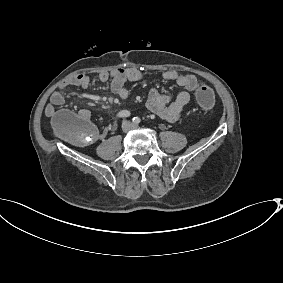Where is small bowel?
Listing matches in <instances>:
<instances>
[{
  "label": "small bowel",
  "instance_id": "small-bowel-1",
  "mask_svg": "<svg viewBox=\"0 0 283 283\" xmlns=\"http://www.w3.org/2000/svg\"><path fill=\"white\" fill-rule=\"evenodd\" d=\"M163 78L167 81L175 82L182 88V91L174 97L171 94H163L156 88H152L149 92L146 107L163 120L173 123L180 119L184 107L191 99V93L198 88V81L192 74H183L175 70L166 71L163 74ZM98 79L102 83L111 80V91L119 98L127 99L129 91L126 83L128 81L142 80L143 74L136 68L126 67L113 70L110 73L102 72L99 74ZM89 85L90 78L83 73L75 74L65 79L60 85V90L52 93L50 103L45 108L46 115L53 118L57 113V108L65 103L63 90L71 86L87 88ZM79 115L89 118L90 112L83 109L79 111Z\"/></svg>",
  "mask_w": 283,
  "mask_h": 283
}]
</instances>
